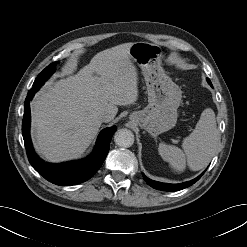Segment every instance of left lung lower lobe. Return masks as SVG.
<instances>
[{
    "label": "left lung lower lobe",
    "mask_w": 247,
    "mask_h": 247,
    "mask_svg": "<svg viewBox=\"0 0 247 247\" xmlns=\"http://www.w3.org/2000/svg\"><path fill=\"white\" fill-rule=\"evenodd\" d=\"M208 83L212 86L211 82H208ZM204 172L200 176H198L197 178H195L191 181H188V182L180 183V184H167V183H161V182L153 181V180L147 178L145 175H143V178L147 182L148 185H150L151 187H153L157 190L177 191V190H181V189H184V188H187V187L193 185L195 182H197L200 179V177L204 174Z\"/></svg>",
    "instance_id": "obj_1"
}]
</instances>
